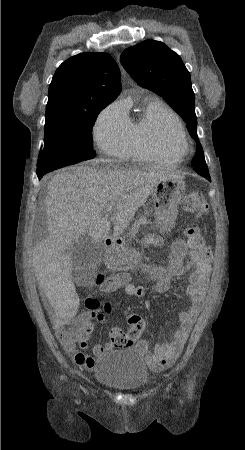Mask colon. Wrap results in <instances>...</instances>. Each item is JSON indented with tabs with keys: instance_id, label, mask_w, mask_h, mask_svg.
Here are the masks:
<instances>
[{
	"instance_id": "colon-1",
	"label": "colon",
	"mask_w": 245,
	"mask_h": 450,
	"mask_svg": "<svg viewBox=\"0 0 245 450\" xmlns=\"http://www.w3.org/2000/svg\"><path fill=\"white\" fill-rule=\"evenodd\" d=\"M184 209L197 217H201L208 211V205L204 199L202 193L198 191H189L183 200ZM185 236L188 246L194 251L200 260L209 261L212 258L211 249L206 245L202 232L198 226H190L185 230ZM129 276L125 272H117L111 275H105L103 273H97L93 276V285L100 288L103 292L111 291V289L118 285L125 284L128 281ZM95 310L99 309V306L95 300L90 304ZM97 319H103V314L98 312ZM127 322L129 330L124 332L119 328H115L111 331V338L117 346H130L133 345L142 334L145 328V321L141 315L132 313L128 316ZM57 331L60 333L63 339L67 341H74L82 343L83 337H85L87 331L92 330V325L89 320H70L58 323L56 326ZM81 362L87 361L88 358L79 356Z\"/></svg>"
}]
</instances>
